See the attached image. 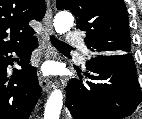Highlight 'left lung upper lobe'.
<instances>
[{"label":"left lung upper lobe","instance_id":"5c2ea615","mask_svg":"<svg viewBox=\"0 0 142 119\" xmlns=\"http://www.w3.org/2000/svg\"><path fill=\"white\" fill-rule=\"evenodd\" d=\"M57 9L70 10L85 43L96 55L131 54L128 15L123 0H57Z\"/></svg>","mask_w":142,"mask_h":119}]
</instances>
